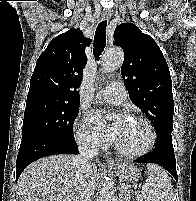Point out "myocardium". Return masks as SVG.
<instances>
[{
  "label": "myocardium",
  "mask_w": 196,
  "mask_h": 201,
  "mask_svg": "<svg viewBox=\"0 0 196 201\" xmlns=\"http://www.w3.org/2000/svg\"><path fill=\"white\" fill-rule=\"evenodd\" d=\"M135 121L141 123L147 130L148 138L145 146L136 152H126L120 149L116 144L113 145L115 152L122 158L137 159L148 154L154 147L156 141V134L151 122L143 117H135Z\"/></svg>",
  "instance_id": "myocardium-1"
}]
</instances>
